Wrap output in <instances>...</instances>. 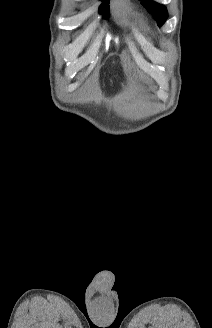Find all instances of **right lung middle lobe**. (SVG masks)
I'll return each mask as SVG.
<instances>
[{"label": "right lung middle lobe", "instance_id": "1", "mask_svg": "<svg viewBox=\"0 0 212 328\" xmlns=\"http://www.w3.org/2000/svg\"><path fill=\"white\" fill-rule=\"evenodd\" d=\"M108 4L109 1H104L102 5H100L99 7V13H102L105 15V17H107L108 15Z\"/></svg>", "mask_w": 212, "mask_h": 328}]
</instances>
